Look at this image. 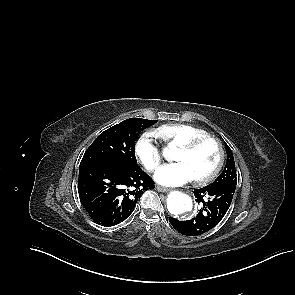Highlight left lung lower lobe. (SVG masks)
<instances>
[{
	"label": "left lung lower lobe",
	"instance_id": "obj_1",
	"mask_svg": "<svg viewBox=\"0 0 295 295\" xmlns=\"http://www.w3.org/2000/svg\"><path fill=\"white\" fill-rule=\"evenodd\" d=\"M236 185L231 183L207 185L195 189L196 202L201 204L199 213L192 220L178 221L169 218L171 225L180 233L188 236L201 235L213 229L228 211Z\"/></svg>",
	"mask_w": 295,
	"mask_h": 295
}]
</instances>
